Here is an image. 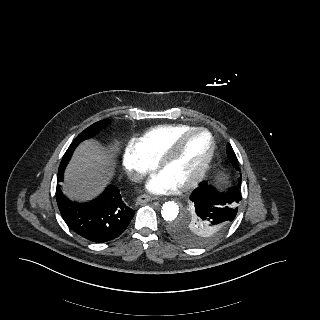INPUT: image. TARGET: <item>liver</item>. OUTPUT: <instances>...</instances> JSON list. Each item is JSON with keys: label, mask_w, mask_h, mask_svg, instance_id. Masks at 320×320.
<instances>
[{"label": "liver", "mask_w": 320, "mask_h": 320, "mask_svg": "<svg viewBox=\"0 0 320 320\" xmlns=\"http://www.w3.org/2000/svg\"><path fill=\"white\" fill-rule=\"evenodd\" d=\"M112 174L111 155L87 141L74 152L64 172L62 191L70 199H88L103 189Z\"/></svg>", "instance_id": "liver-1"}]
</instances>
